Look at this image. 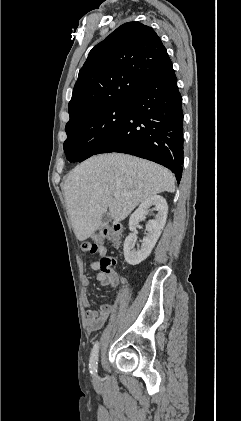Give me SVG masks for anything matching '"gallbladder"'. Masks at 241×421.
Returning <instances> with one entry per match:
<instances>
[{"mask_svg": "<svg viewBox=\"0 0 241 421\" xmlns=\"http://www.w3.org/2000/svg\"><path fill=\"white\" fill-rule=\"evenodd\" d=\"M112 220V217L109 213H105L101 220H100V224H99V229H102L105 225H107L110 221Z\"/></svg>", "mask_w": 241, "mask_h": 421, "instance_id": "1", "label": "gallbladder"}]
</instances>
